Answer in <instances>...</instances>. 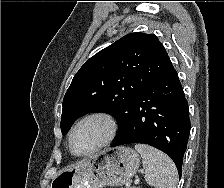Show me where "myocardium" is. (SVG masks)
Returning a JSON list of instances; mask_svg holds the SVG:
<instances>
[{
	"label": "myocardium",
	"instance_id": "1",
	"mask_svg": "<svg viewBox=\"0 0 224 188\" xmlns=\"http://www.w3.org/2000/svg\"><path fill=\"white\" fill-rule=\"evenodd\" d=\"M90 119L103 120L108 126V133H107L106 137L96 147H94L90 151L85 152V153H77V152H75V150L73 148L74 134H75L76 130L78 129V127L83 122L90 120ZM117 132H118V123L113 115H111L110 113H107V112H103V111L91 112V113L85 115L84 117H82L72 128L70 136H69V149H70L71 153L75 156L91 155V154L101 150L102 148L107 146L109 143H111L113 141V139L115 138V136L117 135Z\"/></svg>",
	"mask_w": 224,
	"mask_h": 188
}]
</instances>
